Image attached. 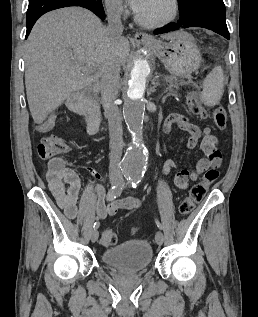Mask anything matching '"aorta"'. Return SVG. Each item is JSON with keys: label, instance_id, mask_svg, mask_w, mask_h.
I'll return each instance as SVG.
<instances>
[{"label": "aorta", "instance_id": "1", "mask_svg": "<svg viewBox=\"0 0 258 317\" xmlns=\"http://www.w3.org/2000/svg\"><path fill=\"white\" fill-rule=\"evenodd\" d=\"M149 73L150 66L146 59L140 57L134 61L123 105V117L132 135V145L125 153L121 168L124 176L132 180L141 179L147 165L142 132L145 112L143 96Z\"/></svg>", "mask_w": 258, "mask_h": 317}]
</instances>
